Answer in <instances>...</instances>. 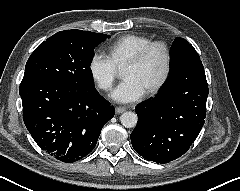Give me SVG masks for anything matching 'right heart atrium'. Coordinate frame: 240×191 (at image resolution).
<instances>
[{
    "instance_id": "right-heart-atrium-1",
    "label": "right heart atrium",
    "mask_w": 240,
    "mask_h": 191,
    "mask_svg": "<svg viewBox=\"0 0 240 191\" xmlns=\"http://www.w3.org/2000/svg\"><path fill=\"white\" fill-rule=\"evenodd\" d=\"M89 72L100 89L109 91L114 84L117 67L109 56L103 53H95L89 61Z\"/></svg>"
}]
</instances>
